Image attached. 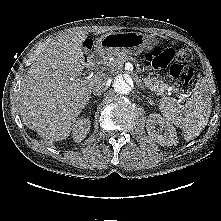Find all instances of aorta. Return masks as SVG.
Segmentation results:
<instances>
[{
    "instance_id": "1",
    "label": "aorta",
    "mask_w": 221,
    "mask_h": 221,
    "mask_svg": "<svg viewBox=\"0 0 221 221\" xmlns=\"http://www.w3.org/2000/svg\"><path fill=\"white\" fill-rule=\"evenodd\" d=\"M113 88L117 94L121 95L128 94L131 91V85L129 81L123 76L115 77L113 82Z\"/></svg>"
}]
</instances>
